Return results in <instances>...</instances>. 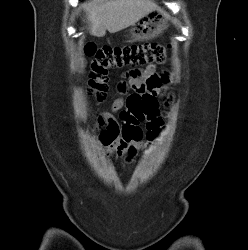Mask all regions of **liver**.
<instances>
[{
	"label": "liver",
	"instance_id": "6515ba94",
	"mask_svg": "<svg viewBox=\"0 0 248 250\" xmlns=\"http://www.w3.org/2000/svg\"><path fill=\"white\" fill-rule=\"evenodd\" d=\"M84 8L90 34L103 37L106 30L116 33L134 25L157 5L151 0H92Z\"/></svg>",
	"mask_w": 248,
	"mask_h": 250
}]
</instances>
